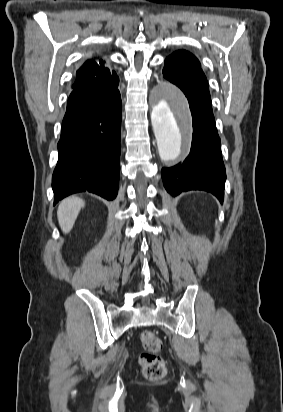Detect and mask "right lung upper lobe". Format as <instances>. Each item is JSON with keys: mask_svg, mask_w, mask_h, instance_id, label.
Listing matches in <instances>:
<instances>
[{"mask_svg": "<svg viewBox=\"0 0 283 412\" xmlns=\"http://www.w3.org/2000/svg\"><path fill=\"white\" fill-rule=\"evenodd\" d=\"M76 81L73 84V89L83 84L86 81L97 78L102 81H111L118 78L116 73L105 66V62L99 60L97 62L88 60L76 72Z\"/></svg>", "mask_w": 283, "mask_h": 412, "instance_id": "cb5924a9", "label": "right lung upper lobe"}]
</instances>
